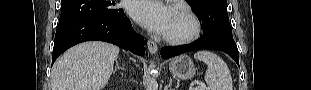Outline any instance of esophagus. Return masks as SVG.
I'll return each instance as SVG.
<instances>
[{
    "instance_id": "obj_1",
    "label": "esophagus",
    "mask_w": 311,
    "mask_h": 90,
    "mask_svg": "<svg viewBox=\"0 0 311 90\" xmlns=\"http://www.w3.org/2000/svg\"><path fill=\"white\" fill-rule=\"evenodd\" d=\"M147 47L151 54H155L158 50L157 44L151 39L147 41Z\"/></svg>"
}]
</instances>
